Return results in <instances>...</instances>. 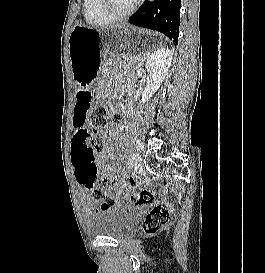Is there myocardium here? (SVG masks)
I'll return each mask as SVG.
<instances>
[{"label": "myocardium", "mask_w": 265, "mask_h": 273, "mask_svg": "<svg viewBox=\"0 0 265 273\" xmlns=\"http://www.w3.org/2000/svg\"><path fill=\"white\" fill-rule=\"evenodd\" d=\"M140 2L141 0H135L133 5L127 11L116 14L109 8L110 0H98V10L107 21L113 23L131 16L139 6Z\"/></svg>", "instance_id": "f54148a6"}]
</instances>
